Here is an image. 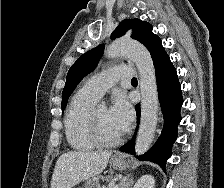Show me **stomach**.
Wrapping results in <instances>:
<instances>
[{
	"mask_svg": "<svg viewBox=\"0 0 224 188\" xmlns=\"http://www.w3.org/2000/svg\"><path fill=\"white\" fill-rule=\"evenodd\" d=\"M111 165L114 169L117 170H124L126 169V167H128V163L126 162L124 157L121 158L112 157Z\"/></svg>",
	"mask_w": 224,
	"mask_h": 188,
	"instance_id": "0dacf381",
	"label": "stomach"
}]
</instances>
